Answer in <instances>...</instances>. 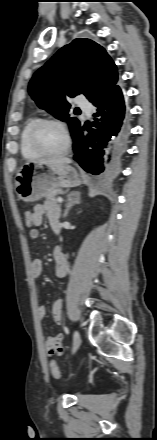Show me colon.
<instances>
[{
	"instance_id": "1",
	"label": "colon",
	"mask_w": 157,
	"mask_h": 440,
	"mask_svg": "<svg viewBox=\"0 0 157 440\" xmlns=\"http://www.w3.org/2000/svg\"><path fill=\"white\" fill-rule=\"evenodd\" d=\"M24 222L28 228L32 229L35 226V219H34V215H33L32 211H25ZM62 351H63V349L61 347L57 346L52 350L51 353L61 354ZM50 371H51L52 376L55 379H60L61 372H60V369H59L57 363L54 360H52L50 362Z\"/></svg>"
}]
</instances>
